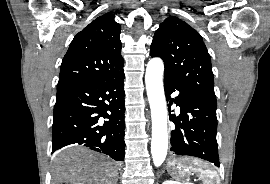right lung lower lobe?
Segmentation results:
<instances>
[{"mask_svg":"<svg viewBox=\"0 0 270 184\" xmlns=\"http://www.w3.org/2000/svg\"><path fill=\"white\" fill-rule=\"evenodd\" d=\"M124 72L104 80L57 90L52 153L79 144L123 161ZM100 117L108 119L104 123Z\"/></svg>","mask_w":270,"mask_h":184,"instance_id":"obj_1","label":"right lung lower lobe"}]
</instances>
